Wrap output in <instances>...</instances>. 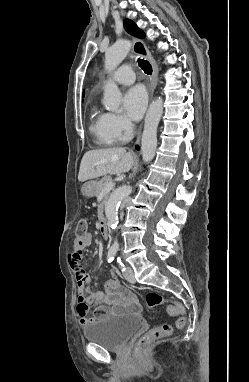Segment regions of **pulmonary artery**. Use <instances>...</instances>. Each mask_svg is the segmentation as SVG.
Segmentation results:
<instances>
[{
  "mask_svg": "<svg viewBox=\"0 0 249 382\" xmlns=\"http://www.w3.org/2000/svg\"><path fill=\"white\" fill-rule=\"evenodd\" d=\"M112 81L122 85H130L135 81L134 69L131 64L119 67L111 77Z\"/></svg>",
  "mask_w": 249,
  "mask_h": 382,
  "instance_id": "obj_1",
  "label": "pulmonary artery"
}]
</instances>
